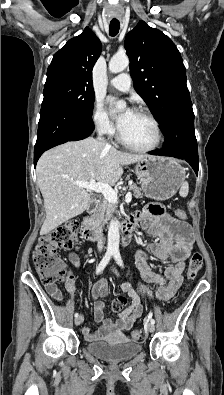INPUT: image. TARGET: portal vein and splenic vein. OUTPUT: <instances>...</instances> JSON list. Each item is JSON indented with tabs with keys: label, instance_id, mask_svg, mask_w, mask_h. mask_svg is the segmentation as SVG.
<instances>
[{
	"label": "portal vein and splenic vein",
	"instance_id": "portal-vein-and-splenic-vein-1",
	"mask_svg": "<svg viewBox=\"0 0 224 395\" xmlns=\"http://www.w3.org/2000/svg\"><path fill=\"white\" fill-rule=\"evenodd\" d=\"M75 185L83 187L89 191H94L96 193H102L104 198L114 204L118 203L117 192L112 189V187L105 183H99L95 180H90L89 182L76 181ZM132 200L131 192H128L125 197V202L129 203Z\"/></svg>",
	"mask_w": 224,
	"mask_h": 395
}]
</instances>
